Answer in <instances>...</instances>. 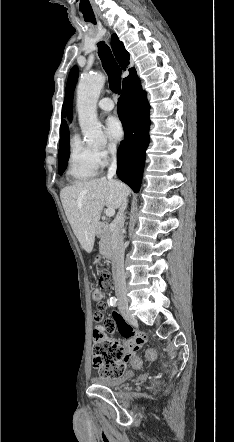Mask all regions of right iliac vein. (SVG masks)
<instances>
[{
    "instance_id": "1",
    "label": "right iliac vein",
    "mask_w": 234,
    "mask_h": 442,
    "mask_svg": "<svg viewBox=\"0 0 234 442\" xmlns=\"http://www.w3.org/2000/svg\"><path fill=\"white\" fill-rule=\"evenodd\" d=\"M120 310H121L122 314L124 315V317H125L128 321H130V322H132V323L135 322L134 317H132V315L130 314V312H129V310H128V302H127V301H121V302H120Z\"/></svg>"
}]
</instances>
